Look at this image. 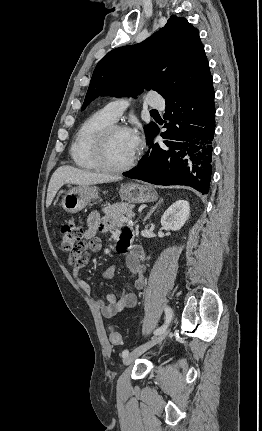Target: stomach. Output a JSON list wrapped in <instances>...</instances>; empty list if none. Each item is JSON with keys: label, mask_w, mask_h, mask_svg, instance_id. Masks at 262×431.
I'll return each instance as SVG.
<instances>
[{"label": "stomach", "mask_w": 262, "mask_h": 431, "mask_svg": "<svg viewBox=\"0 0 262 431\" xmlns=\"http://www.w3.org/2000/svg\"><path fill=\"white\" fill-rule=\"evenodd\" d=\"M122 200L128 203H143L156 199V194L148 185L126 183L119 189ZM98 197V188L93 185H79L71 188L63 197L62 207L68 213H77Z\"/></svg>", "instance_id": "stomach-1"}]
</instances>
